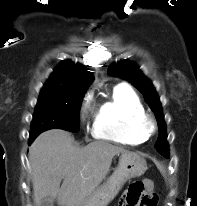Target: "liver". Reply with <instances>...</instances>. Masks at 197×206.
I'll return each instance as SVG.
<instances>
[{"mask_svg": "<svg viewBox=\"0 0 197 206\" xmlns=\"http://www.w3.org/2000/svg\"><path fill=\"white\" fill-rule=\"evenodd\" d=\"M124 152L128 151L105 141L79 147L61 129L41 133L29 152L35 206L45 199H56L59 206L81 204L105 179L113 157Z\"/></svg>", "mask_w": 197, "mask_h": 206, "instance_id": "liver-1", "label": "liver"}]
</instances>
